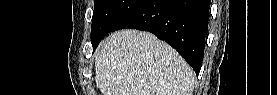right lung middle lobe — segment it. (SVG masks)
Listing matches in <instances>:
<instances>
[{"label":"right lung middle lobe","instance_id":"dd1d6c3e","mask_svg":"<svg viewBox=\"0 0 277 95\" xmlns=\"http://www.w3.org/2000/svg\"><path fill=\"white\" fill-rule=\"evenodd\" d=\"M144 0H94L91 27L93 51L101 39Z\"/></svg>","mask_w":277,"mask_h":95}]
</instances>
